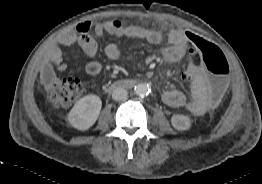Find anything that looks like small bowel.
<instances>
[{
	"label": "small bowel",
	"mask_w": 262,
	"mask_h": 184,
	"mask_svg": "<svg viewBox=\"0 0 262 184\" xmlns=\"http://www.w3.org/2000/svg\"><path fill=\"white\" fill-rule=\"evenodd\" d=\"M91 22L83 21L74 29L64 31L58 36L57 42L62 46H69L78 43L83 51L94 58L98 51L96 41L90 36ZM94 33L101 37L104 34H112L117 37L127 39L144 40L150 44L157 45L162 40V35L158 30L141 26H128L121 29H114L111 23H99L94 26ZM169 45L163 50V57L168 63H177L187 54L188 67L174 71V78L182 81L185 87H192V96L188 98L179 90H168L163 93L162 99L170 107H183L195 115H203L218 102V96L212 92L205 78L200 76L203 68L199 58L195 54H203L212 45L190 31L172 30L168 34ZM106 56L111 60H118L121 57L120 47L116 43H110L105 48ZM63 52L59 46H54L48 54V71L54 69L65 71L66 65L63 62ZM102 70V65L97 60H91L85 65V71L89 75H98Z\"/></svg>",
	"instance_id": "1"
}]
</instances>
